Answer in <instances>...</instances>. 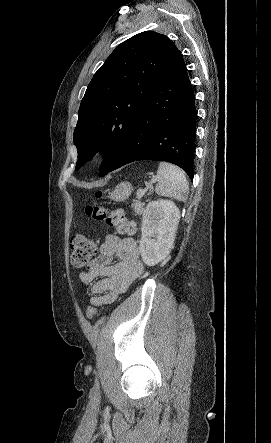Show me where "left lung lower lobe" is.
Masks as SVG:
<instances>
[{
  "label": "left lung lower lobe",
  "mask_w": 271,
  "mask_h": 443,
  "mask_svg": "<svg viewBox=\"0 0 271 443\" xmlns=\"http://www.w3.org/2000/svg\"><path fill=\"white\" fill-rule=\"evenodd\" d=\"M196 118L194 93L177 50L150 84L145 108L110 171L133 161L158 160L178 165L193 179Z\"/></svg>",
  "instance_id": "obj_1"
}]
</instances>
